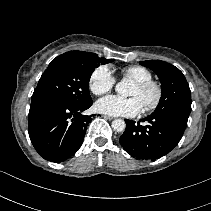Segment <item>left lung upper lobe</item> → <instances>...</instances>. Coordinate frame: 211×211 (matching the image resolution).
<instances>
[{
	"mask_svg": "<svg viewBox=\"0 0 211 211\" xmlns=\"http://www.w3.org/2000/svg\"><path fill=\"white\" fill-rule=\"evenodd\" d=\"M140 64L153 70L161 81L162 95L153 113L174 112L188 118L191 112V92L183 73L161 60L140 61Z\"/></svg>",
	"mask_w": 211,
	"mask_h": 211,
	"instance_id": "obj_1",
	"label": "left lung upper lobe"
}]
</instances>
